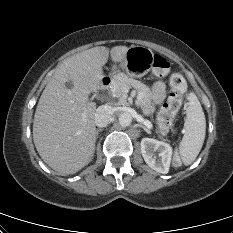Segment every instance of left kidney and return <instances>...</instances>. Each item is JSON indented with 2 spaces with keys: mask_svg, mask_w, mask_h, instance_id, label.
<instances>
[{
  "mask_svg": "<svg viewBox=\"0 0 233 233\" xmlns=\"http://www.w3.org/2000/svg\"><path fill=\"white\" fill-rule=\"evenodd\" d=\"M141 153L150 168L162 174L168 173L173 153L172 147L168 143L152 138H143Z\"/></svg>",
  "mask_w": 233,
  "mask_h": 233,
  "instance_id": "obj_1",
  "label": "left kidney"
}]
</instances>
